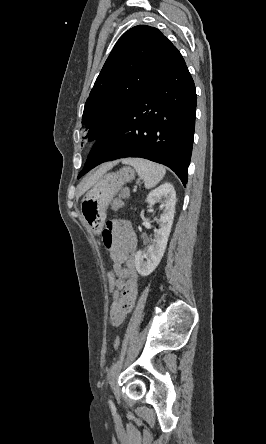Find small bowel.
Wrapping results in <instances>:
<instances>
[{
  "label": "small bowel",
  "mask_w": 266,
  "mask_h": 444,
  "mask_svg": "<svg viewBox=\"0 0 266 444\" xmlns=\"http://www.w3.org/2000/svg\"><path fill=\"white\" fill-rule=\"evenodd\" d=\"M102 239L118 278L109 313L111 324L118 327L133 309L137 298L138 275L134 266L137 239L126 220L108 222Z\"/></svg>",
  "instance_id": "c3829d8e"
}]
</instances>
